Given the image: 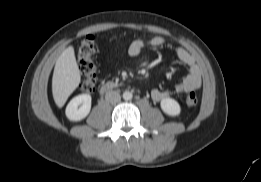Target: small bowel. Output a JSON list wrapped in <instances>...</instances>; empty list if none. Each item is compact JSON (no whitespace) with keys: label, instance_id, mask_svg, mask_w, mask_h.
Instances as JSON below:
<instances>
[{"label":"small bowel","instance_id":"1","mask_svg":"<svg viewBox=\"0 0 261 182\" xmlns=\"http://www.w3.org/2000/svg\"><path fill=\"white\" fill-rule=\"evenodd\" d=\"M170 42L162 36H154L151 38H139L134 40L129 48L128 53L132 57L138 56L146 46L163 47L169 45ZM175 54L178 60L188 68V73L181 83L176 85L173 93H194L199 90L202 85L201 69L196 63L195 58L184 48L177 47ZM172 93L165 90L153 89L151 91V97L154 101L160 102L168 97Z\"/></svg>","mask_w":261,"mask_h":182}]
</instances>
